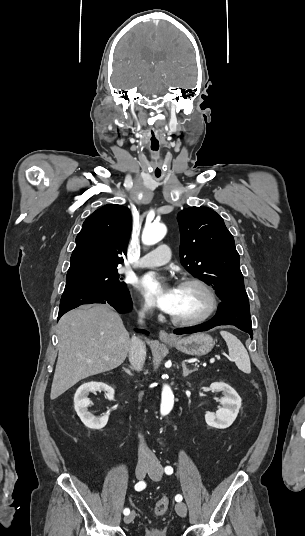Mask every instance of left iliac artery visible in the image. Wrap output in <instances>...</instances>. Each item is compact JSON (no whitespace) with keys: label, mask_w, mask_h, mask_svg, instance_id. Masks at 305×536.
<instances>
[{"label":"left iliac artery","mask_w":305,"mask_h":536,"mask_svg":"<svg viewBox=\"0 0 305 536\" xmlns=\"http://www.w3.org/2000/svg\"><path fill=\"white\" fill-rule=\"evenodd\" d=\"M165 473L168 474V475L172 474L173 473V468L170 467V466L165 467ZM182 499H183L182 496L179 495V494L175 496V500L177 502L182 501Z\"/></svg>","instance_id":"44dca946"}]
</instances>
